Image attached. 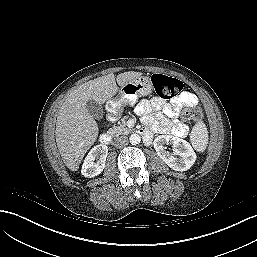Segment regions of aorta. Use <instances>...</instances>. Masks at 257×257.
Wrapping results in <instances>:
<instances>
[{
    "label": "aorta",
    "instance_id": "762f6f07",
    "mask_svg": "<svg viewBox=\"0 0 257 257\" xmlns=\"http://www.w3.org/2000/svg\"><path fill=\"white\" fill-rule=\"evenodd\" d=\"M129 140H130V143L132 145H136V144H139L140 141H141V137L139 134H131L130 137H129Z\"/></svg>",
    "mask_w": 257,
    "mask_h": 257
}]
</instances>
